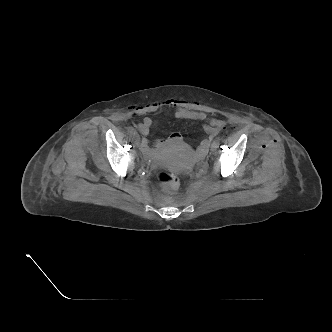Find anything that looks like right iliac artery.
Listing matches in <instances>:
<instances>
[{"label":"right iliac artery","mask_w":332,"mask_h":332,"mask_svg":"<svg viewBox=\"0 0 332 332\" xmlns=\"http://www.w3.org/2000/svg\"><path fill=\"white\" fill-rule=\"evenodd\" d=\"M128 132H130V133H134V132H135V129H134L133 127H129V128H128Z\"/></svg>","instance_id":"right-iliac-artery-1"}]
</instances>
